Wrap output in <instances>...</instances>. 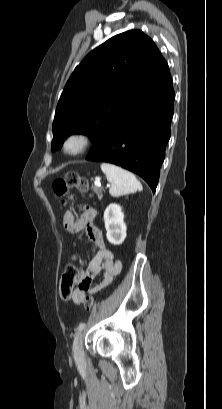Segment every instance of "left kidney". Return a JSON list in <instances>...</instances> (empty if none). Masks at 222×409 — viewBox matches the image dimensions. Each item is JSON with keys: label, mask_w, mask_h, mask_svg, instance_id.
Segmentation results:
<instances>
[{"label": "left kidney", "mask_w": 222, "mask_h": 409, "mask_svg": "<svg viewBox=\"0 0 222 409\" xmlns=\"http://www.w3.org/2000/svg\"><path fill=\"white\" fill-rule=\"evenodd\" d=\"M106 237L113 245L121 244L126 238L124 213L119 205L112 203L104 211Z\"/></svg>", "instance_id": "obj_1"}]
</instances>
